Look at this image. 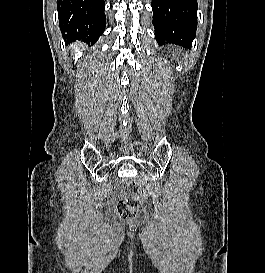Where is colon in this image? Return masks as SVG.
I'll return each instance as SVG.
<instances>
[{"mask_svg": "<svg viewBox=\"0 0 265 273\" xmlns=\"http://www.w3.org/2000/svg\"><path fill=\"white\" fill-rule=\"evenodd\" d=\"M145 200V191L136 182H130L129 194L120 199L117 203L116 210L118 215L124 220L135 217Z\"/></svg>", "mask_w": 265, "mask_h": 273, "instance_id": "5ec220e1", "label": "colon"}]
</instances>
